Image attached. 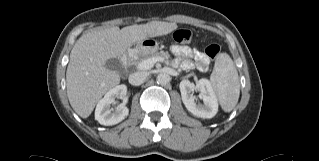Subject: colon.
Masks as SVG:
<instances>
[{
  "label": "colon",
  "mask_w": 319,
  "mask_h": 161,
  "mask_svg": "<svg viewBox=\"0 0 319 161\" xmlns=\"http://www.w3.org/2000/svg\"><path fill=\"white\" fill-rule=\"evenodd\" d=\"M173 38L177 43H189L193 39V32L190 29H178L174 32ZM220 53V46L216 43L208 44L204 48V54L210 59H215Z\"/></svg>",
  "instance_id": "obj_1"
}]
</instances>
